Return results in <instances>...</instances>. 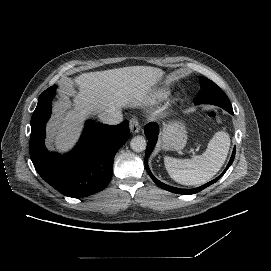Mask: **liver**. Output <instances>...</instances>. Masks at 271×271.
Here are the masks:
<instances>
[{
	"label": "liver",
	"instance_id": "6515ba94",
	"mask_svg": "<svg viewBox=\"0 0 271 271\" xmlns=\"http://www.w3.org/2000/svg\"><path fill=\"white\" fill-rule=\"evenodd\" d=\"M160 76V70L143 66L87 73L77 80L67 78L63 91L66 97L77 98L76 104L83 113L97 111L101 114L109 109L120 108L128 99H140ZM66 114L65 108L60 106L59 119L54 126V135L64 128L59 137L60 144H67L76 135L77 124L70 126L76 120V115L68 116L66 125L62 126L60 118Z\"/></svg>",
	"mask_w": 271,
	"mask_h": 271
}]
</instances>
